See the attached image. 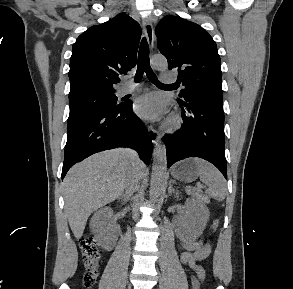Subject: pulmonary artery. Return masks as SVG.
Masks as SVG:
<instances>
[{"label":"pulmonary artery","mask_w":293,"mask_h":289,"mask_svg":"<svg viewBox=\"0 0 293 289\" xmlns=\"http://www.w3.org/2000/svg\"><path fill=\"white\" fill-rule=\"evenodd\" d=\"M161 80L165 83L173 82L175 79L173 77V74L171 72H164L161 74ZM141 87L140 83H135V82H128L123 85L121 88V95H126L131 92L139 90Z\"/></svg>","instance_id":"e3ab8cb5"}]
</instances>
